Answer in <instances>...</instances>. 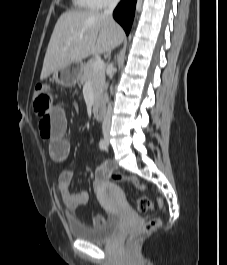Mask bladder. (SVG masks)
<instances>
[{
  "instance_id": "31cf9c89",
  "label": "bladder",
  "mask_w": 227,
  "mask_h": 265,
  "mask_svg": "<svg viewBox=\"0 0 227 265\" xmlns=\"http://www.w3.org/2000/svg\"><path fill=\"white\" fill-rule=\"evenodd\" d=\"M114 191L118 195L121 194L117 186H114ZM120 221V217L117 214H110L100 225L94 227H86L74 222H70L68 226L70 234L74 239L90 243H100L109 239L117 231Z\"/></svg>"
}]
</instances>
